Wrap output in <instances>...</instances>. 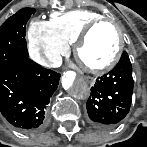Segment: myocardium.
<instances>
[{
    "mask_svg": "<svg viewBox=\"0 0 147 147\" xmlns=\"http://www.w3.org/2000/svg\"><path fill=\"white\" fill-rule=\"evenodd\" d=\"M102 26H111L116 30L117 37H118L117 45H116V48L113 54L110 56V58L106 62L99 64V65H91L85 62L81 58V50L83 46L86 44L92 32L96 28L102 27ZM122 49H123V37H122V33L119 31L117 26L107 19H99L87 25L83 29V31L79 34V36L76 38L74 45H73V54L84 70L94 73V74H98V73H102V72L109 70L116 64V62L118 61L121 55Z\"/></svg>",
    "mask_w": 147,
    "mask_h": 147,
    "instance_id": "obj_1",
    "label": "myocardium"
}]
</instances>
